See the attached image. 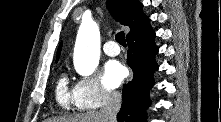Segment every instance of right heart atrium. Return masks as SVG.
Returning <instances> with one entry per match:
<instances>
[{
	"label": "right heart atrium",
	"mask_w": 221,
	"mask_h": 122,
	"mask_svg": "<svg viewBox=\"0 0 221 122\" xmlns=\"http://www.w3.org/2000/svg\"><path fill=\"white\" fill-rule=\"evenodd\" d=\"M74 101L78 109H96L118 98L116 91L106 88L99 76L90 75L80 79L74 86Z\"/></svg>",
	"instance_id": "right-heart-atrium-1"
}]
</instances>
